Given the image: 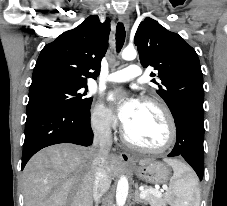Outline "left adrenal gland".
Masks as SVG:
<instances>
[{"label":"left adrenal gland","mask_w":227,"mask_h":206,"mask_svg":"<svg viewBox=\"0 0 227 206\" xmlns=\"http://www.w3.org/2000/svg\"><path fill=\"white\" fill-rule=\"evenodd\" d=\"M134 202L144 203V200L139 197V189L137 184L135 185Z\"/></svg>","instance_id":"obj_1"}]
</instances>
